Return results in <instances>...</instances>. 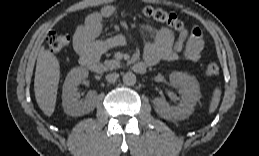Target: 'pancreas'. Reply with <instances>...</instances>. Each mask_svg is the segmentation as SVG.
Here are the masks:
<instances>
[{"label":"pancreas","mask_w":259,"mask_h":156,"mask_svg":"<svg viewBox=\"0 0 259 156\" xmlns=\"http://www.w3.org/2000/svg\"><path fill=\"white\" fill-rule=\"evenodd\" d=\"M104 65L107 69L113 70L121 67V62L118 60H106Z\"/></svg>","instance_id":"obj_1"}]
</instances>
